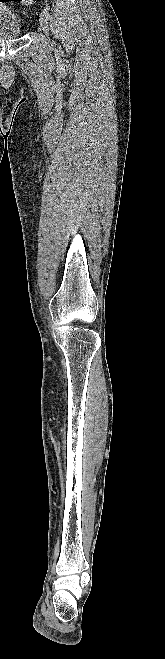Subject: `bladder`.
I'll return each mask as SVG.
<instances>
[{
  "label": "bladder",
  "instance_id": "bladder-1",
  "mask_svg": "<svg viewBox=\"0 0 165 659\" xmlns=\"http://www.w3.org/2000/svg\"><path fill=\"white\" fill-rule=\"evenodd\" d=\"M22 26L14 11L0 5V40H11L21 37Z\"/></svg>",
  "mask_w": 165,
  "mask_h": 659
}]
</instances>
